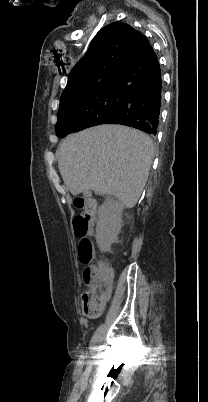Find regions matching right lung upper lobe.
Wrapping results in <instances>:
<instances>
[{
    "mask_svg": "<svg viewBox=\"0 0 208 402\" xmlns=\"http://www.w3.org/2000/svg\"><path fill=\"white\" fill-rule=\"evenodd\" d=\"M146 39L122 22H113L100 29L86 54L71 70L62 96L100 82L113 81Z\"/></svg>",
    "mask_w": 208,
    "mask_h": 402,
    "instance_id": "cb5924a9",
    "label": "right lung upper lobe"
}]
</instances>
